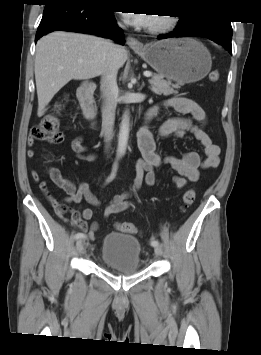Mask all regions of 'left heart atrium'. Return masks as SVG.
<instances>
[{"label":"left heart atrium","instance_id":"obj_1","mask_svg":"<svg viewBox=\"0 0 261 355\" xmlns=\"http://www.w3.org/2000/svg\"><path fill=\"white\" fill-rule=\"evenodd\" d=\"M126 22L137 27H149L155 22V17L151 13H128L123 12Z\"/></svg>","mask_w":261,"mask_h":355}]
</instances>
